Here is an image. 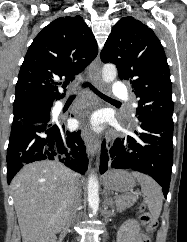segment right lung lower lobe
<instances>
[{
	"label": "right lung lower lobe",
	"instance_id": "1",
	"mask_svg": "<svg viewBox=\"0 0 187 242\" xmlns=\"http://www.w3.org/2000/svg\"><path fill=\"white\" fill-rule=\"evenodd\" d=\"M80 132L66 131L50 121V110L13 121L7 149V182L30 162L56 160L84 174L88 168Z\"/></svg>",
	"mask_w": 187,
	"mask_h": 242
}]
</instances>
